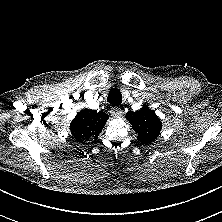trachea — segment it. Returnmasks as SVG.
<instances>
[{
    "instance_id": "3493384b",
    "label": "trachea",
    "mask_w": 222,
    "mask_h": 222,
    "mask_svg": "<svg viewBox=\"0 0 222 222\" xmlns=\"http://www.w3.org/2000/svg\"><path fill=\"white\" fill-rule=\"evenodd\" d=\"M107 101L112 106H119L122 102V94L119 89L112 88L108 94Z\"/></svg>"
}]
</instances>
